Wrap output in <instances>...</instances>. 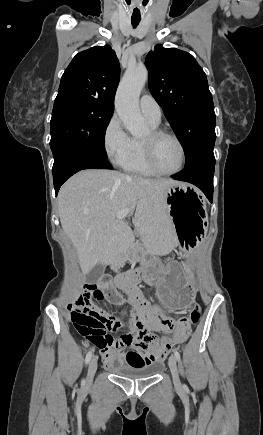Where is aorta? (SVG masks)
<instances>
[{
	"label": "aorta",
	"mask_w": 263,
	"mask_h": 435,
	"mask_svg": "<svg viewBox=\"0 0 263 435\" xmlns=\"http://www.w3.org/2000/svg\"><path fill=\"white\" fill-rule=\"evenodd\" d=\"M148 79L144 66L128 69L123 76L115 99V109L125 128L133 136L147 132V126L139 109V95Z\"/></svg>",
	"instance_id": "aorta-1"
}]
</instances>
